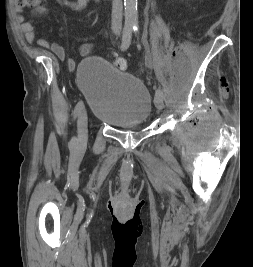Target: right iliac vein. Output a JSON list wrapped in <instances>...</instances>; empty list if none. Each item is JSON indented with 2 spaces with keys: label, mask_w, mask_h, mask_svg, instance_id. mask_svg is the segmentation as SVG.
Returning a JSON list of instances; mask_svg holds the SVG:
<instances>
[{
  "label": "right iliac vein",
  "mask_w": 253,
  "mask_h": 267,
  "mask_svg": "<svg viewBox=\"0 0 253 267\" xmlns=\"http://www.w3.org/2000/svg\"><path fill=\"white\" fill-rule=\"evenodd\" d=\"M88 136V117L86 110H82L78 116V142L84 145Z\"/></svg>",
  "instance_id": "1"
}]
</instances>
